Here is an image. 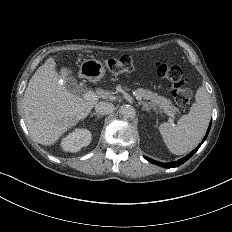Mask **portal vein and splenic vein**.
Returning <instances> with one entry per match:
<instances>
[{"label": "portal vein and splenic vein", "instance_id": "obj_1", "mask_svg": "<svg viewBox=\"0 0 232 232\" xmlns=\"http://www.w3.org/2000/svg\"><path fill=\"white\" fill-rule=\"evenodd\" d=\"M81 97L85 100H91V101H97L98 98L97 96L92 92V91H89V92H84ZM137 100L138 101H142L143 100V97L140 96V95H137L136 96ZM163 113V112H162ZM169 116H171V114L167 113Z\"/></svg>", "mask_w": 232, "mask_h": 232}]
</instances>
